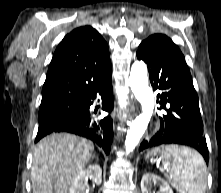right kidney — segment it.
Masks as SVG:
<instances>
[{"label":"right kidney","instance_id":"ca27d5eb","mask_svg":"<svg viewBox=\"0 0 221 193\" xmlns=\"http://www.w3.org/2000/svg\"><path fill=\"white\" fill-rule=\"evenodd\" d=\"M88 178H92L97 185L102 181V169L99 165H90L87 169L81 170L74 178L69 193H84Z\"/></svg>","mask_w":221,"mask_h":193}]
</instances>
